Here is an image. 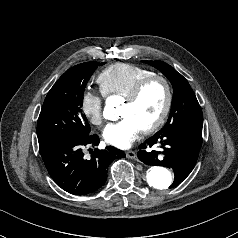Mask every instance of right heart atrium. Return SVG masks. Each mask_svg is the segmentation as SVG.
<instances>
[{
  "label": "right heart atrium",
  "mask_w": 238,
  "mask_h": 238,
  "mask_svg": "<svg viewBox=\"0 0 238 238\" xmlns=\"http://www.w3.org/2000/svg\"><path fill=\"white\" fill-rule=\"evenodd\" d=\"M104 98L102 91L87 90L82 95V112L92 124L100 125L103 122Z\"/></svg>",
  "instance_id": "right-heart-atrium-1"
}]
</instances>
